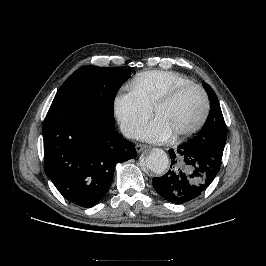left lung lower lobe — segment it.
I'll use <instances>...</instances> for the list:
<instances>
[{
  "instance_id": "left-lung-lower-lobe-1",
  "label": "left lung lower lobe",
  "mask_w": 266,
  "mask_h": 266,
  "mask_svg": "<svg viewBox=\"0 0 266 266\" xmlns=\"http://www.w3.org/2000/svg\"><path fill=\"white\" fill-rule=\"evenodd\" d=\"M171 165L162 177L153 178L152 184L166 200L182 204L198 197L218 174L221 160L186 143L169 150Z\"/></svg>"
}]
</instances>
